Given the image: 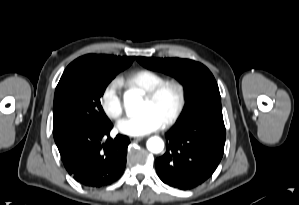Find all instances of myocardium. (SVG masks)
<instances>
[{
  "mask_svg": "<svg viewBox=\"0 0 299 205\" xmlns=\"http://www.w3.org/2000/svg\"><path fill=\"white\" fill-rule=\"evenodd\" d=\"M172 88L176 91L177 99L172 113L162 122L163 127H169L174 124L181 116L187 99L185 85L176 79H167L157 84L152 89L143 93V98L148 101H155L165 90Z\"/></svg>",
  "mask_w": 299,
  "mask_h": 205,
  "instance_id": "myocardium-1",
  "label": "myocardium"
}]
</instances>
